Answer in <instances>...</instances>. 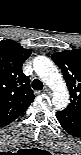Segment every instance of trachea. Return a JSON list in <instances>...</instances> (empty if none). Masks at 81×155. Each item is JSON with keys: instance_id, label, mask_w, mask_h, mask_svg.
<instances>
[{"instance_id": "obj_1", "label": "trachea", "mask_w": 81, "mask_h": 155, "mask_svg": "<svg viewBox=\"0 0 81 155\" xmlns=\"http://www.w3.org/2000/svg\"><path fill=\"white\" fill-rule=\"evenodd\" d=\"M32 87H33V89L41 90L43 88V84H42V82L40 80L35 79L32 82Z\"/></svg>"}]
</instances>
